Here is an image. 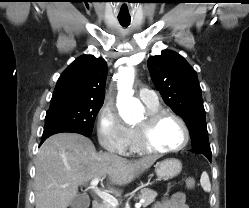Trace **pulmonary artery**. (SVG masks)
<instances>
[{"instance_id": "obj_1", "label": "pulmonary artery", "mask_w": 249, "mask_h": 208, "mask_svg": "<svg viewBox=\"0 0 249 208\" xmlns=\"http://www.w3.org/2000/svg\"><path fill=\"white\" fill-rule=\"evenodd\" d=\"M138 97L146 106L155 107L159 105L157 95L152 90L142 88L139 90Z\"/></svg>"}]
</instances>
